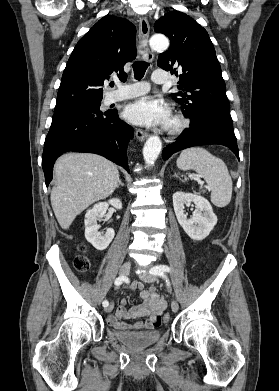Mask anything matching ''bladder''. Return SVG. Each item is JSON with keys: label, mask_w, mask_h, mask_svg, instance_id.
<instances>
[{"label": "bladder", "mask_w": 279, "mask_h": 391, "mask_svg": "<svg viewBox=\"0 0 279 391\" xmlns=\"http://www.w3.org/2000/svg\"><path fill=\"white\" fill-rule=\"evenodd\" d=\"M115 339L122 344L134 348H144L155 344L161 337L160 331H125L112 330Z\"/></svg>", "instance_id": "bladder-1"}]
</instances>
